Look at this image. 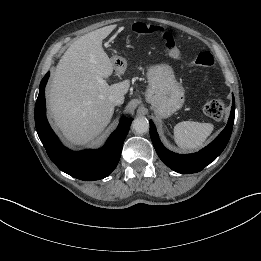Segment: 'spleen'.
Here are the masks:
<instances>
[{
    "label": "spleen",
    "instance_id": "obj_1",
    "mask_svg": "<svg viewBox=\"0 0 261 261\" xmlns=\"http://www.w3.org/2000/svg\"><path fill=\"white\" fill-rule=\"evenodd\" d=\"M214 129L211 123L195 121L179 122L174 127V139L177 145L185 150H195L203 146Z\"/></svg>",
    "mask_w": 261,
    "mask_h": 261
}]
</instances>
